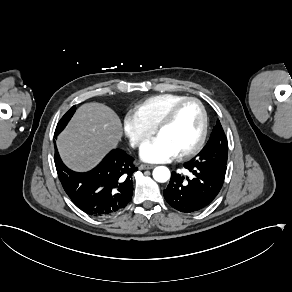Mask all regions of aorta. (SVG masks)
<instances>
[{"label":"aorta","instance_id":"762f6f07","mask_svg":"<svg viewBox=\"0 0 292 292\" xmlns=\"http://www.w3.org/2000/svg\"><path fill=\"white\" fill-rule=\"evenodd\" d=\"M153 178L157 182L164 183L170 178V171L165 166H158L153 170Z\"/></svg>","mask_w":292,"mask_h":292}]
</instances>
